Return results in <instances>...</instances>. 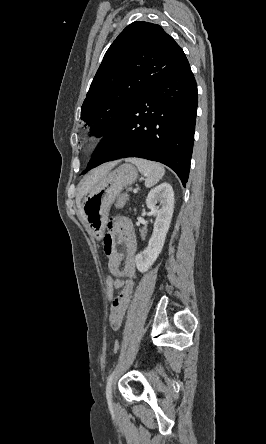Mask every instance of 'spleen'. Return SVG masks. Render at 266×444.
Instances as JSON below:
<instances>
[{"label": "spleen", "mask_w": 266, "mask_h": 444, "mask_svg": "<svg viewBox=\"0 0 266 444\" xmlns=\"http://www.w3.org/2000/svg\"><path fill=\"white\" fill-rule=\"evenodd\" d=\"M127 161L135 164L141 174L145 176V186L148 188L157 184L165 173L163 165L158 162L142 158H129Z\"/></svg>", "instance_id": "obj_1"}]
</instances>
